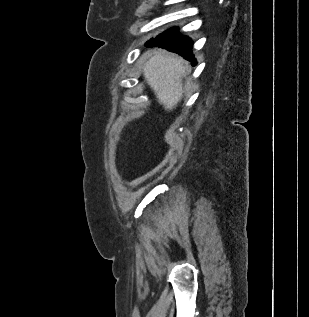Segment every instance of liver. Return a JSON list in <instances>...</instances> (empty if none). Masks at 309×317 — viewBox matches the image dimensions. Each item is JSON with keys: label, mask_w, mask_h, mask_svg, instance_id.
I'll list each match as a JSON object with an SVG mask.
<instances>
[{"label": "liver", "mask_w": 309, "mask_h": 317, "mask_svg": "<svg viewBox=\"0 0 309 317\" xmlns=\"http://www.w3.org/2000/svg\"><path fill=\"white\" fill-rule=\"evenodd\" d=\"M188 67L182 58L165 51H155L145 63L144 78L166 110L174 109L181 101L182 79Z\"/></svg>", "instance_id": "6515ba94"}]
</instances>
